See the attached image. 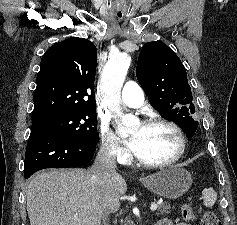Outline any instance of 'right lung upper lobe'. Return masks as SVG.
<instances>
[{"mask_svg": "<svg viewBox=\"0 0 237 225\" xmlns=\"http://www.w3.org/2000/svg\"><path fill=\"white\" fill-rule=\"evenodd\" d=\"M96 62L97 49L87 39L71 37L52 45L41 59L32 121L96 109Z\"/></svg>", "mask_w": 237, "mask_h": 225, "instance_id": "1", "label": "right lung upper lobe"}]
</instances>
